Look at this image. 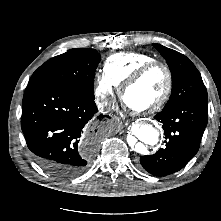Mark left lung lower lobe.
<instances>
[{
	"label": "left lung lower lobe",
	"instance_id": "1",
	"mask_svg": "<svg viewBox=\"0 0 221 221\" xmlns=\"http://www.w3.org/2000/svg\"><path fill=\"white\" fill-rule=\"evenodd\" d=\"M154 118L163 124L165 147L142 156L140 163L147 172L165 176L182 169L197 153L207 125L208 99L193 98L164 107Z\"/></svg>",
	"mask_w": 221,
	"mask_h": 221
}]
</instances>
